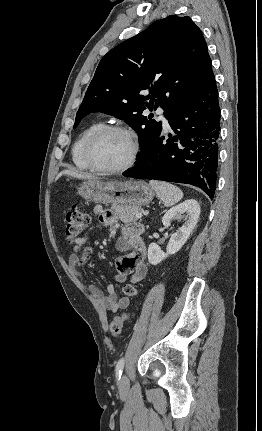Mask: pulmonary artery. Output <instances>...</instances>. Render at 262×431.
<instances>
[{"instance_id": "pulmonary-artery-1", "label": "pulmonary artery", "mask_w": 262, "mask_h": 431, "mask_svg": "<svg viewBox=\"0 0 262 431\" xmlns=\"http://www.w3.org/2000/svg\"><path fill=\"white\" fill-rule=\"evenodd\" d=\"M158 114H160V119L162 120V122H163V125H164V127L166 128V129H168L169 128V123H168V121L165 119V117L163 116V110L162 109H160L159 111H158Z\"/></svg>"}]
</instances>
